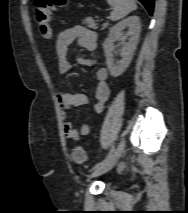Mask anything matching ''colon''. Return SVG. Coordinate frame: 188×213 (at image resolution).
<instances>
[{
  "mask_svg": "<svg viewBox=\"0 0 188 213\" xmlns=\"http://www.w3.org/2000/svg\"><path fill=\"white\" fill-rule=\"evenodd\" d=\"M67 0H35L34 15L41 35L45 39L52 37L51 14L56 8L64 7ZM72 159L77 164H82L86 160V152L82 146H75L72 149Z\"/></svg>",
  "mask_w": 188,
  "mask_h": 213,
  "instance_id": "colon-1",
  "label": "colon"
}]
</instances>
